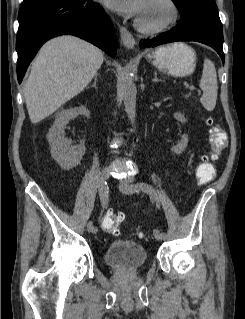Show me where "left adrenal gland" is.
Returning <instances> with one entry per match:
<instances>
[{"label":"left adrenal gland","mask_w":245,"mask_h":319,"mask_svg":"<svg viewBox=\"0 0 245 319\" xmlns=\"http://www.w3.org/2000/svg\"><path fill=\"white\" fill-rule=\"evenodd\" d=\"M152 81H153V82H159V81H162V80H161V79H158V78H157V73L154 72V78H153Z\"/></svg>","instance_id":"a2214340"}]
</instances>
